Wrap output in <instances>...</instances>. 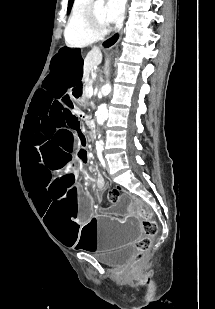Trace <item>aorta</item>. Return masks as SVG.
<instances>
[{"instance_id": "aorta-1", "label": "aorta", "mask_w": 215, "mask_h": 309, "mask_svg": "<svg viewBox=\"0 0 215 309\" xmlns=\"http://www.w3.org/2000/svg\"><path fill=\"white\" fill-rule=\"evenodd\" d=\"M95 4L96 6H103V4H105V0H95ZM110 90H111L110 80H106L105 84H103L102 86V92L103 94H108ZM107 116H108L107 104H100V106H98V110H96V118L98 124H103ZM103 146H104L103 140H99V142H97L96 144V148H103Z\"/></svg>"}]
</instances>
